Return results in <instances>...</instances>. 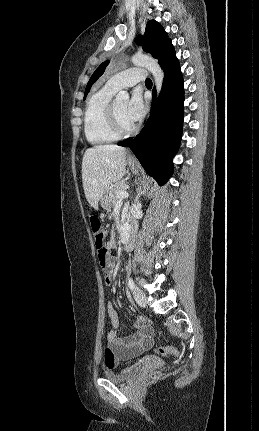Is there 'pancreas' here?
<instances>
[{"label":"pancreas","mask_w":259,"mask_h":431,"mask_svg":"<svg viewBox=\"0 0 259 431\" xmlns=\"http://www.w3.org/2000/svg\"><path fill=\"white\" fill-rule=\"evenodd\" d=\"M126 180L116 182L109 190V197L111 205H115L119 201L118 192L125 190Z\"/></svg>","instance_id":"cf45deb5"}]
</instances>
